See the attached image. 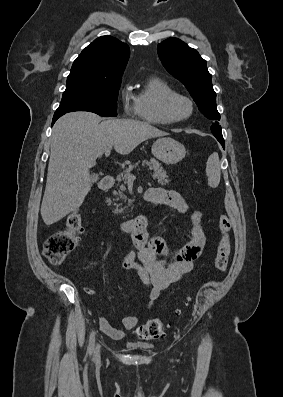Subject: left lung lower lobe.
I'll return each mask as SVG.
<instances>
[{"label": "left lung lower lobe", "mask_w": 283, "mask_h": 397, "mask_svg": "<svg viewBox=\"0 0 283 397\" xmlns=\"http://www.w3.org/2000/svg\"><path fill=\"white\" fill-rule=\"evenodd\" d=\"M214 136L217 138V140L220 142V144L223 146V148H225L223 136L222 135H216V134H214Z\"/></svg>", "instance_id": "obj_1"}]
</instances>
